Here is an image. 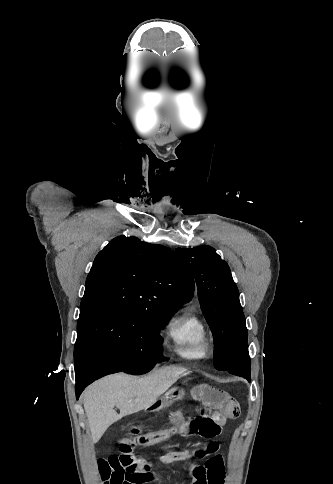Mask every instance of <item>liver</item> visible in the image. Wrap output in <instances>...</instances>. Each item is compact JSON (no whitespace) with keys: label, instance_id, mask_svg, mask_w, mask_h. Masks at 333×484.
Wrapping results in <instances>:
<instances>
[{"label":"liver","instance_id":"liver-1","mask_svg":"<svg viewBox=\"0 0 333 484\" xmlns=\"http://www.w3.org/2000/svg\"><path fill=\"white\" fill-rule=\"evenodd\" d=\"M186 371L165 366L145 376L117 373L91 384L84 391L83 404L93 442H98L107 428L122 417L150 407Z\"/></svg>","mask_w":333,"mask_h":484}]
</instances>
